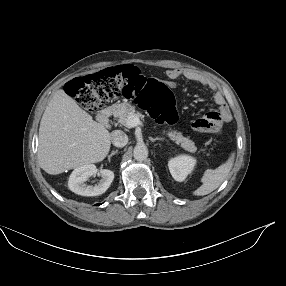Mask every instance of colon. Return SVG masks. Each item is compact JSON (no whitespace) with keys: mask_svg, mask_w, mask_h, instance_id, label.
Listing matches in <instances>:
<instances>
[{"mask_svg":"<svg viewBox=\"0 0 286 286\" xmlns=\"http://www.w3.org/2000/svg\"><path fill=\"white\" fill-rule=\"evenodd\" d=\"M68 93L80 105L95 112L114 97L136 98L159 123H175L178 115L174 96L162 81L148 78L134 66L107 68L92 75L72 80ZM223 121L215 111L206 113L193 123L195 131L220 134Z\"/></svg>","mask_w":286,"mask_h":286,"instance_id":"5ec220e1","label":"colon"}]
</instances>
